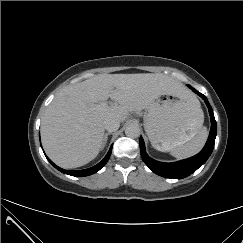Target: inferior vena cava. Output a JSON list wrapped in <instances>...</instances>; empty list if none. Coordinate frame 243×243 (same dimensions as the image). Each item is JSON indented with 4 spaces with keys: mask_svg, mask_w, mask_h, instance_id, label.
<instances>
[{
    "mask_svg": "<svg viewBox=\"0 0 243 243\" xmlns=\"http://www.w3.org/2000/svg\"><path fill=\"white\" fill-rule=\"evenodd\" d=\"M120 127V121L114 118H109L104 121V128L108 132H114Z\"/></svg>",
    "mask_w": 243,
    "mask_h": 243,
    "instance_id": "602c4592",
    "label": "inferior vena cava"
}]
</instances>
